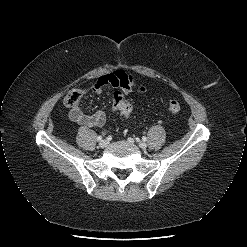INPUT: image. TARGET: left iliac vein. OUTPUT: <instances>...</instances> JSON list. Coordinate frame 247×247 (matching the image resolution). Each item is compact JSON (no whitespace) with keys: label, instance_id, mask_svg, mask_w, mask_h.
<instances>
[{"label":"left iliac vein","instance_id":"4c4485c4","mask_svg":"<svg viewBox=\"0 0 247 247\" xmlns=\"http://www.w3.org/2000/svg\"><path fill=\"white\" fill-rule=\"evenodd\" d=\"M138 145H139V147H140L141 149H146V147H147V144H146L145 142H143V141H139V142H138Z\"/></svg>","mask_w":247,"mask_h":247}]
</instances>
